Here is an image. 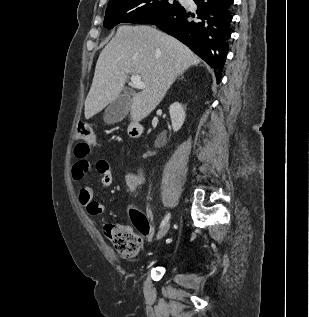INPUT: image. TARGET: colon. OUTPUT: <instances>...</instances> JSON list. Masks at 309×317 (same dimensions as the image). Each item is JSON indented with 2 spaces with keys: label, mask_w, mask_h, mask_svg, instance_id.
<instances>
[{
  "label": "colon",
  "mask_w": 309,
  "mask_h": 317,
  "mask_svg": "<svg viewBox=\"0 0 309 317\" xmlns=\"http://www.w3.org/2000/svg\"><path fill=\"white\" fill-rule=\"evenodd\" d=\"M77 138L82 141L77 148L88 152L96 143L92 128L86 123H80L77 128ZM132 225L109 224L105 232L117 252L125 259H134L141 249L140 235L151 237L153 229L148 219L141 213L133 211Z\"/></svg>",
  "instance_id": "obj_1"
}]
</instances>
